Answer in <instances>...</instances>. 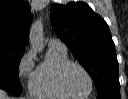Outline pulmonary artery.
<instances>
[{"mask_svg": "<svg viewBox=\"0 0 128 99\" xmlns=\"http://www.w3.org/2000/svg\"><path fill=\"white\" fill-rule=\"evenodd\" d=\"M48 45H49V48H54V49H58L61 51H66V45L58 39H51L49 41Z\"/></svg>", "mask_w": 128, "mask_h": 99, "instance_id": "e3ab8cb5", "label": "pulmonary artery"}]
</instances>
